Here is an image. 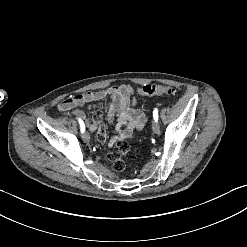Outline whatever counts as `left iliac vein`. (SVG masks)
Returning a JSON list of instances; mask_svg holds the SVG:
<instances>
[{
  "mask_svg": "<svg viewBox=\"0 0 247 247\" xmlns=\"http://www.w3.org/2000/svg\"><path fill=\"white\" fill-rule=\"evenodd\" d=\"M152 129H153L154 134H156V135L160 134L159 124L155 120L152 122Z\"/></svg>",
  "mask_w": 247,
  "mask_h": 247,
  "instance_id": "left-iliac-vein-1",
  "label": "left iliac vein"
}]
</instances>
